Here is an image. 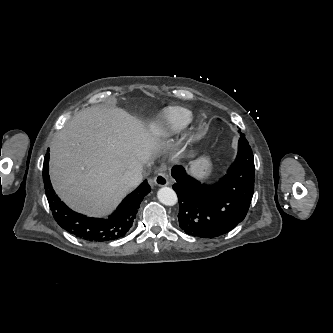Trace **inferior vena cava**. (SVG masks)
I'll return each mask as SVG.
<instances>
[{"mask_svg":"<svg viewBox=\"0 0 333 333\" xmlns=\"http://www.w3.org/2000/svg\"><path fill=\"white\" fill-rule=\"evenodd\" d=\"M143 166L140 163H134L123 174V181L127 187L138 186L143 179Z\"/></svg>","mask_w":333,"mask_h":333,"instance_id":"1","label":"inferior vena cava"}]
</instances>
